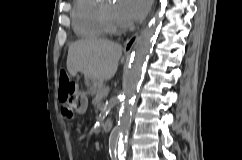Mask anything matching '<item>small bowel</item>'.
<instances>
[{
  "label": "small bowel",
  "mask_w": 242,
  "mask_h": 160,
  "mask_svg": "<svg viewBox=\"0 0 242 160\" xmlns=\"http://www.w3.org/2000/svg\"><path fill=\"white\" fill-rule=\"evenodd\" d=\"M86 108H87V104H86V101L84 100V102L77 108V111L79 113H82L86 110Z\"/></svg>",
  "instance_id": "c3829d8e"
}]
</instances>
